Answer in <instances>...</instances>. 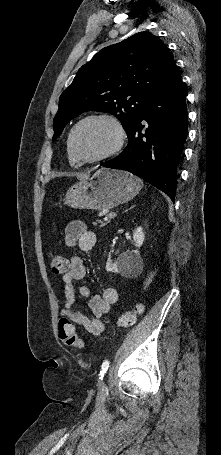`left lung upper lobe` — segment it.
I'll return each mask as SVG.
<instances>
[{
	"instance_id": "obj_1",
	"label": "left lung upper lobe",
	"mask_w": 221,
	"mask_h": 455,
	"mask_svg": "<svg viewBox=\"0 0 221 455\" xmlns=\"http://www.w3.org/2000/svg\"><path fill=\"white\" fill-rule=\"evenodd\" d=\"M175 65L162 41L139 32L99 51L61 94L54 118L55 140L65 125L86 111L113 114L127 135L150 95Z\"/></svg>"
}]
</instances>
